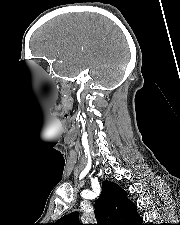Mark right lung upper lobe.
I'll use <instances>...</instances> for the list:
<instances>
[{
  "label": "right lung upper lobe",
  "instance_id": "cb5924a9",
  "mask_svg": "<svg viewBox=\"0 0 180 225\" xmlns=\"http://www.w3.org/2000/svg\"><path fill=\"white\" fill-rule=\"evenodd\" d=\"M97 225H134L140 219L136 206L117 184L104 181L102 192L95 202ZM53 225H82L78 213L72 212L58 219Z\"/></svg>",
  "mask_w": 180,
  "mask_h": 225
}]
</instances>
